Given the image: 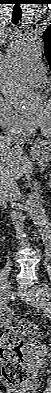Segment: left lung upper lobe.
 Masks as SVG:
<instances>
[{"mask_svg":"<svg viewBox=\"0 0 51 393\" xmlns=\"http://www.w3.org/2000/svg\"><path fill=\"white\" fill-rule=\"evenodd\" d=\"M43 40L45 42V55L51 68V27H48L43 33Z\"/></svg>","mask_w":51,"mask_h":393,"instance_id":"1","label":"left lung upper lobe"}]
</instances>
